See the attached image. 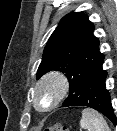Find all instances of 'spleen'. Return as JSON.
Masks as SVG:
<instances>
[{
	"mask_svg": "<svg viewBox=\"0 0 117 131\" xmlns=\"http://www.w3.org/2000/svg\"><path fill=\"white\" fill-rule=\"evenodd\" d=\"M80 127L86 131H110L103 116L92 109H84L82 111Z\"/></svg>",
	"mask_w": 117,
	"mask_h": 131,
	"instance_id": "obj_1",
	"label": "spleen"
}]
</instances>
